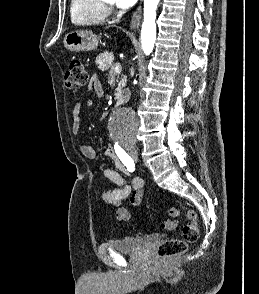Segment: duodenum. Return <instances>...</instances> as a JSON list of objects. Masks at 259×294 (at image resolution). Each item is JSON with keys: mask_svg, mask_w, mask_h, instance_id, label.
<instances>
[{"mask_svg": "<svg viewBox=\"0 0 259 294\" xmlns=\"http://www.w3.org/2000/svg\"><path fill=\"white\" fill-rule=\"evenodd\" d=\"M127 96H128L127 91H125L124 94H121V95L118 97L117 106H121V105H123L124 100L127 98Z\"/></svg>", "mask_w": 259, "mask_h": 294, "instance_id": "duodenum-1", "label": "duodenum"}]
</instances>
